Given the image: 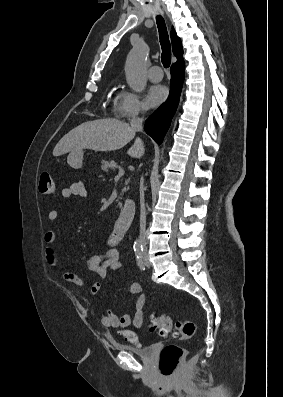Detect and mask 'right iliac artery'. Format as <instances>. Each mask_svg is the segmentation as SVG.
<instances>
[{"label":"right iliac artery","instance_id":"1","mask_svg":"<svg viewBox=\"0 0 283 397\" xmlns=\"http://www.w3.org/2000/svg\"><path fill=\"white\" fill-rule=\"evenodd\" d=\"M135 256H136L137 263H138V266L140 267V269L145 270V267H144V264H143V260H142L143 250L135 251Z\"/></svg>","mask_w":283,"mask_h":397}]
</instances>
